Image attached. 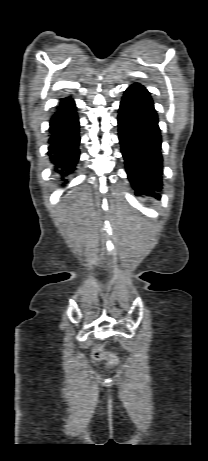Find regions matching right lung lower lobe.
<instances>
[{
    "mask_svg": "<svg viewBox=\"0 0 208 461\" xmlns=\"http://www.w3.org/2000/svg\"><path fill=\"white\" fill-rule=\"evenodd\" d=\"M49 132L48 155L56 166L55 171L65 176L74 170L80 155L79 120L73 98L61 99L51 118Z\"/></svg>",
    "mask_w": 208,
    "mask_h": 461,
    "instance_id": "98d812e1",
    "label": "right lung lower lobe"
}]
</instances>
